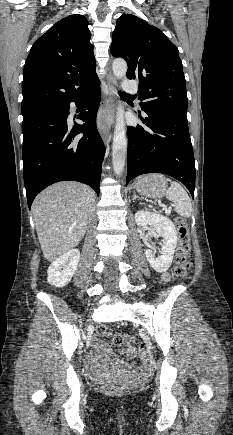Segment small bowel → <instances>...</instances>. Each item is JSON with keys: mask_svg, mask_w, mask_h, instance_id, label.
Listing matches in <instances>:
<instances>
[{"mask_svg": "<svg viewBox=\"0 0 233 435\" xmlns=\"http://www.w3.org/2000/svg\"><path fill=\"white\" fill-rule=\"evenodd\" d=\"M163 279L165 282H168L170 280V275L168 273H164ZM122 352L126 353L128 357L134 358L137 356V349L131 345L125 344L120 349ZM95 358L97 359H110L112 358V352L109 348L105 347L104 345H99L98 350L95 353ZM91 369L94 373L95 378L102 377L107 372L111 370H126V369H132L129 365L114 361L111 366H101L97 360H94L91 365ZM134 370H137L139 373H145L147 371V366L144 364H139L136 367L133 368Z\"/></svg>", "mask_w": 233, "mask_h": 435, "instance_id": "small-bowel-1", "label": "small bowel"}]
</instances>
